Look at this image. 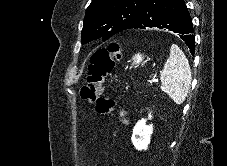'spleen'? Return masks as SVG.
<instances>
[{"label": "spleen", "instance_id": "3e777b00", "mask_svg": "<svg viewBox=\"0 0 227 166\" xmlns=\"http://www.w3.org/2000/svg\"><path fill=\"white\" fill-rule=\"evenodd\" d=\"M161 87L177 104H182L189 92L191 69L182 50L175 44L171 45L170 55L160 74Z\"/></svg>", "mask_w": 227, "mask_h": 166}]
</instances>
